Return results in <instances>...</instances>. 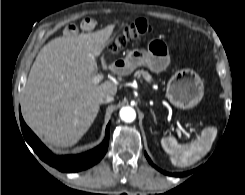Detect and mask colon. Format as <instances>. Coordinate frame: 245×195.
<instances>
[{
    "mask_svg": "<svg viewBox=\"0 0 245 195\" xmlns=\"http://www.w3.org/2000/svg\"><path fill=\"white\" fill-rule=\"evenodd\" d=\"M149 31V25L144 19H137L124 26L108 46L110 52H117L129 42L139 39Z\"/></svg>",
    "mask_w": 245,
    "mask_h": 195,
    "instance_id": "colon-1",
    "label": "colon"
}]
</instances>
